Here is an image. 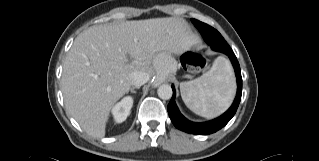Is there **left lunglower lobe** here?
<instances>
[{
	"mask_svg": "<svg viewBox=\"0 0 319 161\" xmlns=\"http://www.w3.org/2000/svg\"><path fill=\"white\" fill-rule=\"evenodd\" d=\"M199 30H202V27L197 26ZM213 28V27H212ZM200 32V31H199ZM208 34L212 35L209 31H206V33H201L203 37H208ZM213 36V35H212ZM221 52L226 54L234 67L236 79H237V95L235 97V100L231 107L220 117L203 123H195L192 121H189L186 119L179 111L176 103H175V88L172 85L173 89V96L168 104V114L169 117L174 124L176 128H178L181 131L190 133V134H196V135H208L217 132L221 128H223L235 115L237 108L239 106L241 95H242V77H241V70L239 66V62L237 61V58L230 48H224Z\"/></svg>",
	"mask_w": 319,
	"mask_h": 161,
	"instance_id": "obj_1",
	"label": "left lung lower lobe"
}]
</instances>
